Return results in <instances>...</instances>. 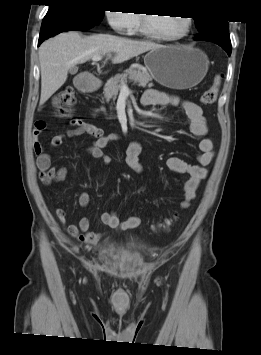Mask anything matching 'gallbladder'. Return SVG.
Instances as JSON below:
<instances>
[{"label":"gallbladder","mask_w":261,"mask_h":355,"mask_svg":"<svg viewBox=\"0 0 261 355\" xmlns=\"http://www.w3.org/2000/svg\"><path fill=\"white\" fill-rule=\"evenodd\" d=\"M78 71V68L77 67H72L70 68V73H76Z\"/></svg>","instance_id":"1"}]
</instances>
